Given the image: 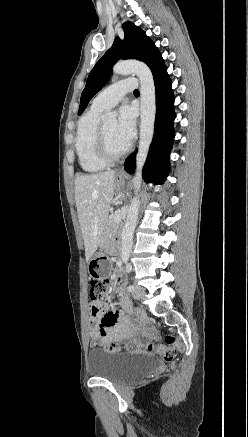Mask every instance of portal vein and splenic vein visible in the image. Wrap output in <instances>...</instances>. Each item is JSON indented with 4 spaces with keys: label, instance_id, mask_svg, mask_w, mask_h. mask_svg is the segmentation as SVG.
Masks as SVG:
<instances>
[{
    "label": "portal vein and splenic vein",
    "instance_id": "18ae733b",
    "mask_svg": "<svg viewBox=\"0 0 248 437\" xmlns=\"http://www.w3.org/2000/svg\"><path fill=\"white\" fill-rule=\"evenodd\" d=\"M120 210H117L116 212H115V221L116 222H120V220H121V217H120Z\"/></svg>",
    "mask_w": 248,
    "mask_h": 437
}]
</instances>
